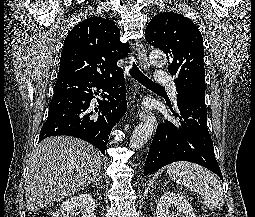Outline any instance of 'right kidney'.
I'll return each mask as SVG.
<instances>
[{
    "label": "right kidney",
    "instance_id": "obj_1",
    "mask_svg": "<svg viewBox=\"0 0 255 217\" xmlns=\"http://www.w3.org/2000/svg\"><path fill=\"white\" fill-rule=\"evenodd\" d=\"M94 210L95 202L91 194L85 192L66 199L53 217H69L70 213H78L81 217H95Z\"/></svg>",
    "mask_w": 255,
    "mask_h": 217
}]
</instances>
